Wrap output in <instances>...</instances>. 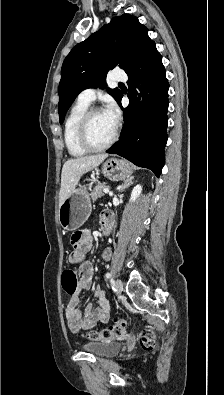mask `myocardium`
<instances>
[{"label": "myocardium", "instance_id": "myocardium-1", "mask_svg": "<svg viewBox=\"0 0 224 395\" xmlns=\"http://www.w3.org/2000/svg\"><path fill=\"white\" fill-rule=\"evenodd\" d=\"M102 112L98 107L88 108L82 115L78 125V139L82 147L89 152H100L106 150L115 143L119 135V125H115V129L111 138L103 145H95L91 142L88 133L89 122L92 116L96 113Z\"/></svg>", "mask_w": 224, "mask_h": 395}]
</instances>
